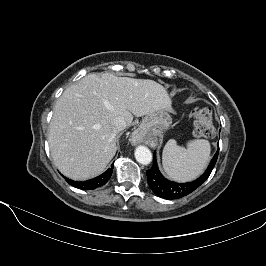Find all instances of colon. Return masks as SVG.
Returning a JSON list of instances; mask_svg holds the SVG:
<instances>
[{
  "instance_id": "5ec220e1",
  "label": "colon",
  "mask_w": 266,
  "mask_h": 266,
  "mask_svg": "<svg viewBox=\"0 0 266 266\" xmlns=\"http://www.w3.org/2000/svg\"><path fill=\"white\" fill-rule=\"evenodd\" d=\"M194 118V134L197 137L211 138L215 134V127L212 120L211 110L206 107H199L192 111Z\"/></svg>"
}]
</instances>
